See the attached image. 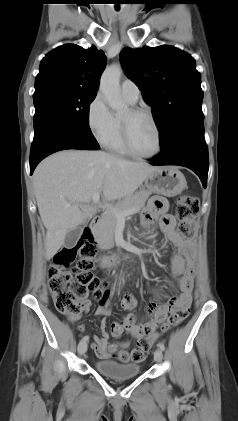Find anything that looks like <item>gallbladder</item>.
I'll return each mask as SVG.
<instances>
[{
  "mask_svg": "<svg viewBox=\"0 0 238 421\" xmlns=\"http://www.w3.org/2000/svg\"><path fill=\"white\" fill-rule=\"evenodd\" d=\"M83 230V226H77L73 230L69 231L64 240V246L68 249H71L77 243L81 233Z\"/></svg>",
  "mask_w": 238,
  "mask_h": 421,
  "instance_id": "gallbladder-1",
  "label": "gallbladder"
}]
</instances>
